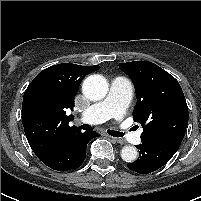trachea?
I'll use <instances>...</instances> for the list:
<instances>
[{"mask_svg":"<svg viewBox=\"0 0 201 201\" xmlns=\"http://www.w3.org/2000/svg\"><path fill=\"white\" fill-rule=\"evenodd\" d=\"M81 129H84V130H92L93 128L87 124H83L81 126ZM107 133L113 137H123V133L121 132H118V131H114V130H108Z\"/></svg>","mask_w":201,"mask_h":201,"instance_id":"trachea-1","label":"trachea"}]
</instances>
